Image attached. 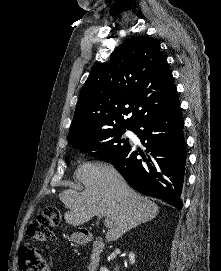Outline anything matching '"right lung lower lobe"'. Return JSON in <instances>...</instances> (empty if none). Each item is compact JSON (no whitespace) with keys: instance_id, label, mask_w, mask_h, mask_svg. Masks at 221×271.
I'll return each mask as SVG.
<instances>
[{"instance_id":"right-lung-lower-lobe-1","label":"right lung lower lobe","mask_w":221,"mask_h":271,"mask_svg":"<svg viewBox=\"0 0 221 271\" xmlns=\"http://www.w3.org/2000/svg\"><path fill=\"white\" fill-rule=\"evenodd\" d=\"M183 127L180 102L145 117L134 132L149 154L144 155L131 146L112 163L133 189L177 209L182 208L180 196L186 161Z\"/></svg>"}]
</instances>
